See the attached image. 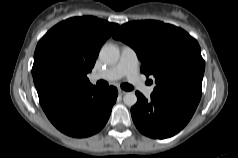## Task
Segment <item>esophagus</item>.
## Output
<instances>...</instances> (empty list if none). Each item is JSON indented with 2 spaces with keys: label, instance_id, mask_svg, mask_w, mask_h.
I'll list each match as a JSON object with an SVG mask.
<instances>
[{
  "label": "esophagus",
  "instance_id": "obj_1",
  "mask_svg": "<svg viewBox=\"0 0 238 158\" xmlns=\"http://www.w3.org/2000/svg\"><path fill=\"white\" fill-rule=\"evenodd\" d=\"M118 93H119V95H124V94H126V91H124V90H122V89H118Z\"/></svg>",
  "mask_w": 238,
  "mask_h": 158
}]
</instances>
